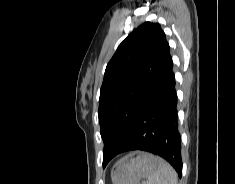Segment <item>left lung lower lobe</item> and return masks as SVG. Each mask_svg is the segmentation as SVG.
I'll return each instance as SVG.
<instances>
[{
  "mask_svg": "<svg viewBox=\"0 0 235 184\" xmlns=\"http://www.w3.org/2000/svg\"><path fill=\"white\" fill-rule=\"evenodd\" d=\"M173 62L167 42L156 77L137 116L133 132L120 153L143 150L167 160L182 176L177 96Z\"/></svg>",
  "mask_w": 235,
  "mask_h": 184,
  "instance_id": "left-lung-lower-lobe-1",
  "label": "left lung lower lobe"
}]
</instances>
